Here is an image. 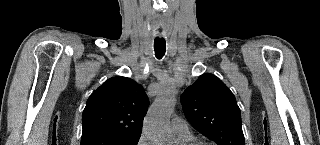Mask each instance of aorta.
<instances>
[{
  "instance_id": "aorta-1",
  "label": "aorta",
  "mask_w": 320,
  "mask_h": 145,
  "mask_svg": "<svg viewBox=\"0 0 320 145\" xmlns=\"http://www.w3.org/2000/svg\"><path fill=\"white\" fill-rule=\"evenodd\" d=\"M176 90L167 87L150 106L144 119L143 131L154 145H169L168 121L175 106Z\"/></svg>"
}]
</instances>
